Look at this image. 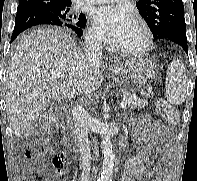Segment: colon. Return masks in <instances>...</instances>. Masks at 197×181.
Instances as JSON below:
<instances>
[{
    "mask_svg": "<svg viewBox=\"0 0 197 181\" xmlns=\"http://www.w3.org/2000/svg\"><path fill=\"white\" fill-rule=\"evenodd\" d=\"M157 109L160 116L165 119L170 126H174L178 122L179 114L169 102L159 100ZM50 126V119H44L43 122L36 127L35 135L38 137L44 136L48 132ZM52 164L58 168L60 177L64 178L66 175L65 166L67 165L66 154L63 152L56 154L52 160ZM26 174L29 181H51L48 178V170L40 153H34L27 157Z\"/></svg>",
    "mask_w": 197,
    "mask_h": 181,
    "instance_id": "5ec220e1",
    "label": "colon"
}]
</instances>
